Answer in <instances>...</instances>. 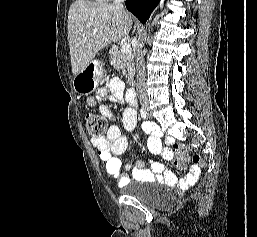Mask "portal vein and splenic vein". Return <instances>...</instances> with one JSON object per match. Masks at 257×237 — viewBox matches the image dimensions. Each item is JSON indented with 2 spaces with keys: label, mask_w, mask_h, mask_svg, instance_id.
Returning <instances> with one entry per match:
<instances>
[{
  "label": "portal vein and splenic vein",
  "mask_w": 257,
  "mask_h": 237,
  "mask_svg": "<svg viewBox=\"0 0 257 237\" xmlns=\"http://www.w3.org/2000/svg\"><path fill=\"white\" fill-rule=\"evenodd\" d=\"M130 44L129 43H124V44H122V46H121V50H120V52L121 53H126V52H128V51H130Z\"/></svg>",
  "instance_id": "18ae733b"
}]
</instances>
